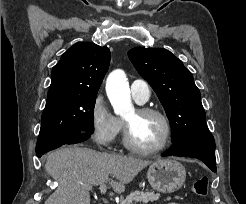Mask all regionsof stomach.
Instances as JSON below:
<instances>
[{"label":"stomach","instance_id":"obj_1","mask_svg":"<svg viewBox=\"0 0 246 204\" xmlns=\"http://www.w3.org/2000/svg\"><path fill=\"white\" fill-rule=\"evenodd\" d=\"M151 187L159 192L172 193L182 187L186 179L185 167L173 159H162L152 163L147 171Z\"/></svg>","mask_w":246,"mask_h":204}]
</instances>
